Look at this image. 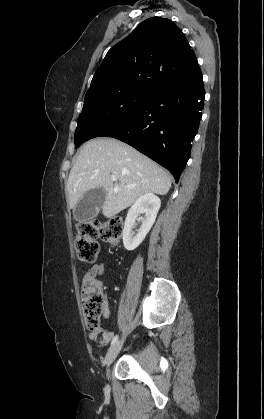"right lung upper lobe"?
Here are the masks:
<instances>
[{"mask_svg": "<svg viewBox=\"0 0 264 419\" xmlns=\"http://www.w3.org/2000/svg\"><path fill=\"white\" fill-rule=\"evenodd\" d=\"M201 78L197 58L182 31L168 19L151 17L108 51L87 94L126 87L155 92L191 85Z\"/></svg>", "mask_w": 264, "mask_h": 419, "instance_id": "obj_1", "label": "right lung upper lobe"}]
</instances>
